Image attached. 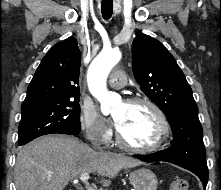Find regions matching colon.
I'll list each match as a JSON object with an SVG mask.
<instances>
[{"label":"colon","mask_w":221,"mask_h":190,"mask_svg":"<svg viewBox=\"0 0 221 190\" xmlns=\"http://www.w3.org/2000/svg\"><path fill=\"white\" fill-rule=\"evenodd\" d=\"M170 190H188V182L185 179H176L171 182Z\"/></svg>","instance_id":"obj_1"}]
</instances>
